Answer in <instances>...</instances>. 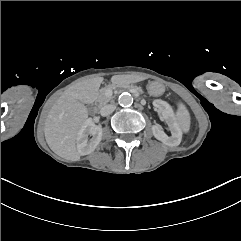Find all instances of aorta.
<instances>
[{
	"instance_id": "762f6f07",
	"label": "aorta",
	"mask_w": 241,
	"mask_h": 241,
	"mask_svg": "<svg viewBox=\"0 0 241 241\" xmlns=\"http://www.w3.org/2000/svg\"><path fill=\"white\" fill-rule=\"evenodd\" d=\"M118 103L122 107H129L133 103V97L130 93L124 92L119 96Z\"/></svg>"
}]
</instances>
